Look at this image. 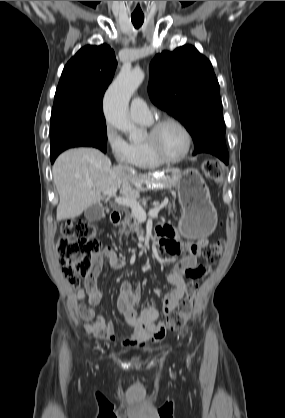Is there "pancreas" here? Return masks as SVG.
Masks as SVG:
<instances>
[{
    "mask_svg": "<svg viewBox=\"0 0 285 418\" xmlns=\"http://www.w3.org/2000/svg\"><path fill=\"white\" fill-rule=\"evenodd\" d=\"M169 209H171V211H175V205L170 204ZM118 232L121 236L124 235L128 237L130 233L134 232H136L137 235H140L143 232V230L139 223L136 221L134 214L126 213V216L124 220L121 222Z\"/></svg>",
    "mask_w": 285,
    "mask_h": 418,
    "instance_id": "obj_1",
    "label": "pancreas"
}]
</instances>
